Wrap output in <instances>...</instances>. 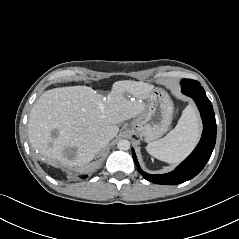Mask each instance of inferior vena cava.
I'll use <instances>...</instances> for the list:
<instances>
[{
    "label": "inferior vena cava",
    "instance_id": "obj_1",
    "mask_svg": "<svg viewBox=\"0 0 239 239\" xmlns=\"http://www.w3.org/2000/svg\"><path fill=\"white\" fill-rule=\"evenodd\" d=\"M108 143H109V140L107 138H102L98 143V150H101L104 147H106Z\"/></svg>",
    "mask_w": 239,
    "mask_h": 239
}]
</instances>
